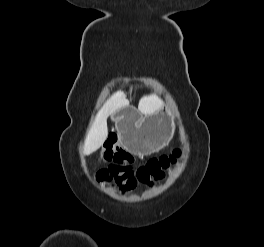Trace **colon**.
Returning a JSON list of instances; mask_svg holds the SVG:
<instances>
[{
	"label": "colon",
	"instance_id": "1",
	"mask_svg": "<svg viewBox=\"0 0 264 247\" xmlns=\"http://www.w3.org/2000/svg\"><path fill=\"white\" fill-rule=\"evenodd\" d=\"M179 155L180 151L176 150L170 155L153 158L134 171L132 169L134 156L118 146L116 134L110 133L100 156L103 161L110 162L111 165L108 169L99 170L97 176L100 180L113 181L124 191L131 190L138 183L149 184L153 180H161L164 177V171L176 161Z\"/></svg>",
	"mask_w": 264,
	"mask_h": 247
}]
</instances>
